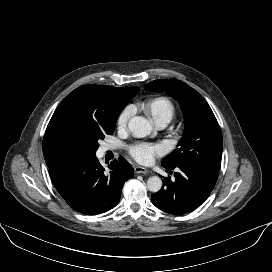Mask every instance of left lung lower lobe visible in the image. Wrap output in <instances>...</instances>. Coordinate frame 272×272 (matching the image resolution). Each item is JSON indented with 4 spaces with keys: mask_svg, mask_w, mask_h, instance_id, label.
Listing matches in <instances>:
<instances>
[{
    "mask_svg": "<svg viewBox=\"0 0 272 272\" xmlns=\"http://www.w3.org/2000/svg\"><path fill=\"white\" fill-rule=\"evenodd\" d=\"M164 168L176 169L175 179L164 178L163 188L151 197L152 203L160 210L174 215L192 212L208 198L217 176L188 165Z\"/></svg>",
    "mask_w": 272,
    "mask_h": 272,
    "instance_id": "0a47b994",
    "label": "left lung lower lobe"
}]
</instances>
